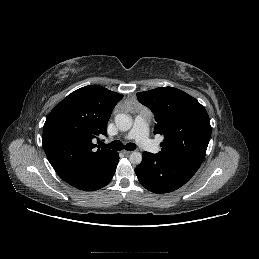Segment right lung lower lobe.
Here are the masks:
<instances>
[{"mask_svg":"<svg viewBox=\"0 0 259 259\" xmlns=\"http://www.w3.org/2000/svg\"><path fill=\"white\" fill-rule=\"evenodd\" d=\"M118 161L119 154L116 152L113 159L107 164L91 169L76 179L67 181V183L84 191H95L103 188L113 178Z\"/></svg>","mask_w":259,"mask_h":259,"instance_id":"98d812e1","label":"right lung lower lobe"}]
</instances>
